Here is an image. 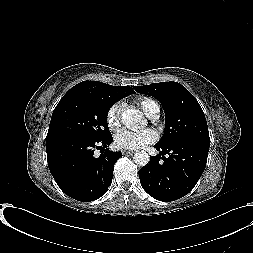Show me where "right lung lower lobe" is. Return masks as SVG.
Instances as JSON below:
<instances>
[{
    "label": "right lung lower lobe",
    "mask_w": 253,
    "mask_h": 253,
    "mask_svg": "<svg viewBox=\"0 0 253 253\" xmlns=\"http://www.w3.org/2000/svg\"><path fill=\"white\" fill-rule=\"evenodd\" d=\"M112 135L102 139L67 136L46 142L50 172L61 190L75 200L89 202L111 185L113 166L122 153L109 151ZM95 149L102 150L94 156Z\"/></svg>",
    "instance_id": "obj_1"
}]
</instances>
